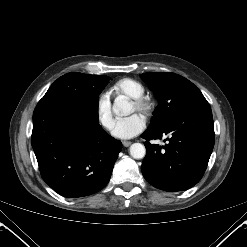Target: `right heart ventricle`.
I'll list each match as a JSON object with an SVG mask.
<instances>
[{"instance_id": "right-heart-ventricle-1", "label": "right heart ventricle", "mask_w": 247, "mask_h": 247, "mask_svg": "<svg viewBox=\"0 0 247 247\" xmlns=\"http://www.w3.org/2000/svg\"><path fill=\"white\" fill-rule=\"evenodd\" d=\"M112 91L115 94L125 95L131 99H135L143 96L144 87L140 82L132 78H122L113 84Z\"/></svg>"}]
</instances>
